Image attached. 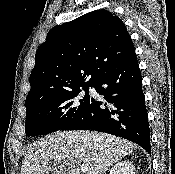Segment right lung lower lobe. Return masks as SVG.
Returning a JSON list of instances; mask_svg holds the SVG:
<instances>
[{
	"label": "right lung lower lobe",
	"instance_id": "right-lung-lower-lobe-1",
	"mask_svg": "<svg viewBox=\"0 0 175 174\" xmlns=\"http://www.w3.org/2000/svg\"><path fill=\"white\" fill-rule=\"evenodd\" d=\"M107 103L90 100L61 130H95L131 140L151 154L150 129L135 53L111 66L93 85Z\"/></svg>",
	"mask_w": 175,
	"mask_h": 174
}]
</instances>
